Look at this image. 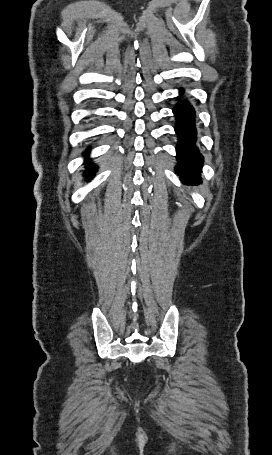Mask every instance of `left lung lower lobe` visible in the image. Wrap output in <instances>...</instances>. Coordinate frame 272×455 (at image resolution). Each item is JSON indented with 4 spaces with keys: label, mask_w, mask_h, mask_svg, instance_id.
<instances>
[{
    "label": "left lung lower lobe",
    "mask_w": 272,
    "mask_h": 455,
    "mask_svg": "<svg viewBox=\"0 0 272 455\" xmlns=\"http://www.w3.org/2000/svg\"><path fill=\"white\" fill-rule=\"evenodd\" d=\"M173 113L177 120L175 131L179 137L176 147L179 164L175 170L183 182L198 183L203 157L195 146V111L187 101H182L174 107Z\"/></svg>",
    "instance_id": "left-lung-lower-lobe-1"
}]
</instances>
